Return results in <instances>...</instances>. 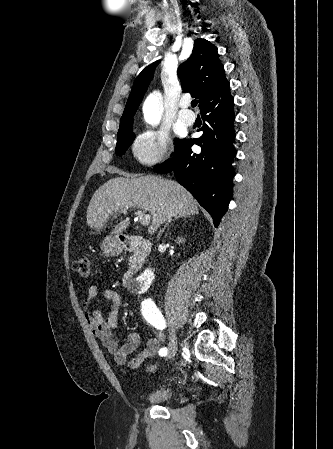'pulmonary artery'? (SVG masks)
<instances>
[{
  "instance_id": "e3ab8cb5",
  "label": "pulmonary artery",
  "mask_w": 333,
  "mask_h": 449,
  "mask_svg": "<svg viewBox=\"0 0 333 449\" xmlns=\"http://www.w3.org/2000/svg\"><path fill=\"white\" fill-rule=\"evenodd\" d=\"M178 117L180 121L187 126H190L195 122V115L187 109V103L184 101L180 103Z\"/></svg>"
}]
</instances>
